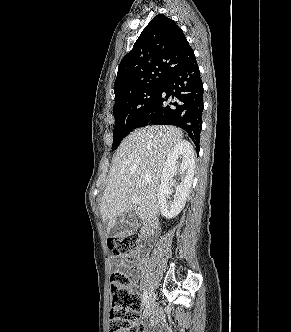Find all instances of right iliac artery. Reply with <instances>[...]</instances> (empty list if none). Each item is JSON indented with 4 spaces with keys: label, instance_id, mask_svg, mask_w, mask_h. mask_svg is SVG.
Listing matches in <instances>:
<instances>
[{
    "label": "right iliac artery",
    "instance_id": "1",
    "mask_svg": "<svg viewBox=\"0 0 291 332\" xmlns=\"http://www.w3.org/2000/svg\"><path fill=\"white\" fill-rule=\"evenodd\" d=\"M149 299L148 292L147 290L144 291L143 293V304L145 305Z\"/></svg>",
    "mask_w": 291,
    "mask_h": 332
}]
</instances>
